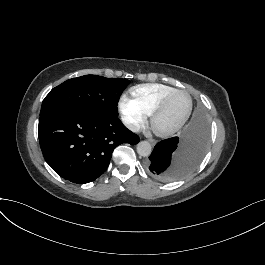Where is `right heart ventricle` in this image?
Segmentation results:
<instances>
[{
    "mask_svg": "<svg viewBox=\"0 0 265 265\" xmlns=\"http://www.w3.org/2000/svg\"><path fill=\"white\" fill-rule=\"evenodd\" d=\"M174 88L161 84H148L132 89L131 93L147 114H152L157 102Z\"/></svg>",
    "mask_w": 265,
    "mask_h": 265,
    "instance_id": "1",
    "label": "right heart ventricle"
}]
</instances>
